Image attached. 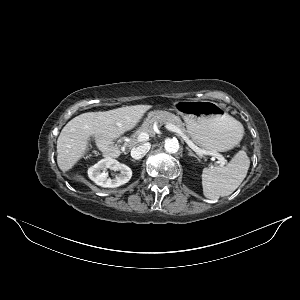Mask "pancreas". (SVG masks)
<instances>
[{
  "mask_svg": "<svg viewBox=\"0 0 300 300\" xmlns=\"http://www.w3.org/2000/svg\"><path fill=\"white\" fill-rule=\"evenodd\" d=\"M154 122H157L158 125L162 124H172L176 127H178L185 135H188L187 130L185 129L184 125L180 120H177L173 117V115L162 111L160 115L154 119H147L143 125L134 133V135L131 137L130 141L127 143L129 146H133L137 143V138L140 133L146 132L149 135H154L155 132L153 130V124Z\"/></svg>",
  "mask_w": 300,
  "mask_h": 300,
  "instance_id": "cf45deb5",
  "label": "pancreas"
}]
</instances>
